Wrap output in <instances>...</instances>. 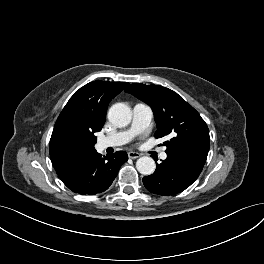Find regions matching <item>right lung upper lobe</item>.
Masks as SVG:
<instances>
[{"label": "right lung upper lobe", "mask_w": 264, "mask_h": 264, "mask_svg": "<svg viewBox=\"0 0 264 264\" xmlns=\"http://www.w3.org/2000/svg\"><path fill=\"white\" fill-rule=\"evenodd\" d=\"M129 83L93 81L80 88L60 113L50 139L54 167L81 156L66 142L75 136L95 137L105 123L109 102Z\"/></svg>", "instance_id": "1"}]
</instances>
